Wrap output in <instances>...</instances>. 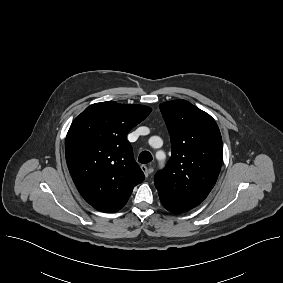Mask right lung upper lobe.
<instances>
[{
  "mask_svg": "<svg viewBox=\"0 0 283 283\" xmlns=\"http://www.w3.org/2000/svg\"><path fill=\"white\" fill-rule=\"evenodd\" d=\"M151 111L107 101L90 105L72 122L65 142L67 166L80 194L95 209L117 212L144 180L126 136Z\"/></svg>",
  "mask_w": 283,
  "mask_h": 283,
  "instance_id": "obj_1",
  "label": "right lung upper lobe"
}]
</instances>
